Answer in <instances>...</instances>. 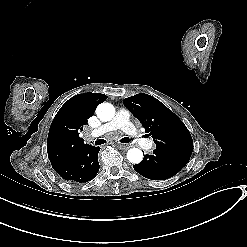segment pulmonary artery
I'll return each mask as SVG.
<instances>
[{"label":"pulmonary artery","instance_id":"obj_1","mask_svg":"<svg viewBox=\"0 0 247 247\" xmlns=\"http://www.w3.org/2000/svg\"><path fill=\"white\" fill-rule=\"evenodd\" d=\"M120 129L132 138H139L141 135L140 130L131 121V112L121 107L117 110L114 119L106 124H103L97 133H104L109 130ZM142 148L147 151H152L156 148V144L152 139L142 141Z\"/></svg>","mask_w":247,"mask_h":247}]
</instances>
